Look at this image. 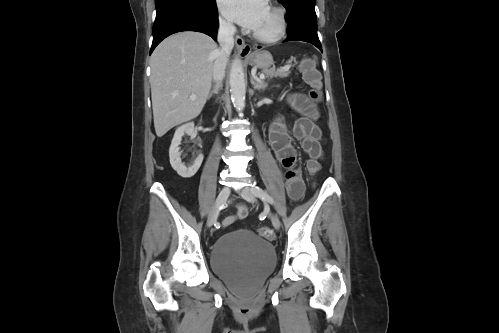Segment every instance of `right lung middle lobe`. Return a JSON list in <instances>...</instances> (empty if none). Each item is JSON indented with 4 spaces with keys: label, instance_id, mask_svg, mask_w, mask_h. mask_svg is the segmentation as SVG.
<instances>
[{
    "label": "right lung middle lobe",
    "instance_id": "obj_1",
    "mask_svg": "<svg viewBox=\"0 0 499 333\" xmlns=\"http://www.w3.org/2000/svg\"><path fill=\"white\" fill-rule=\"evenodd\" d=\"M215 0H156V10L159 11L171 6H187L195 9H205Z\"/></svg>",
    "mask_w": 499,
    "mask_h": 333
}]
</instances>
